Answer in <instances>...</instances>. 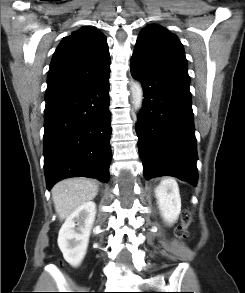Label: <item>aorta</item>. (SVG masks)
I'll use <instances>...</instances> for the list:
<instances>
[{
	"label": "aorta",
	"instance_id": "1",
	"mask_svg": "<svg viewBox=\"0 0 245 293\" xmlns=\"http://www.w3.org/2000/svg\"><path fill=\"white\" fill-rule=\"evenodd\" d=\"M132 104L136 111H139L143 105V89L138 81H134L131 85Z\"/></svg>",
	"mask_w": 245,
	"mask_h": 293
}]
</instances>
